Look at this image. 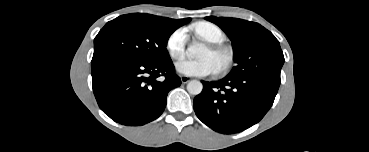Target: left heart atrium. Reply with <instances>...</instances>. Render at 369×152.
I'll list each match as a JSON object with an SVG mask.
<instances>
[{
	"instance_id": "left-heart-atrium-1",
	"label": "left heart atrium",
	"mask_w": 369,
	"mask_h": 152,
	"mask_svg": "<svg viewBox=\"0 0 369 152\" xmlns=\"http://www.w3.org/2000/svg\"><path fill=\"white\" fill-rule=\"evenodd\" d=\"M217 63L212 57L202 59H182L176 63L178 72L185 76H207L217 71Z\"/></svg>"
}]
</instances>
